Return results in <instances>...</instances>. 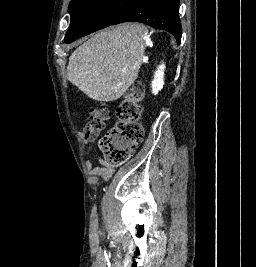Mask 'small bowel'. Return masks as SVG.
Here are the masks:
<instances>
[{
  "mask_svg": "<svg viewBox=\"0 0 256 267\" xmlns=\"http://www.w3.org/2000/svg\"><path fill=\"white\" fill-rule=\"evenodd\" d=\"M114 172V166L108 164L105 158L99 153L96 154L93 161L89 162L87 165V173L93 184H96L100 180L106 181L110 179Z\"/></svg>",
  "mask_w": 256,
  "mask_h": 267,
  "instance_id": "1",
  "label": "small bowel"
}]
</instances>
